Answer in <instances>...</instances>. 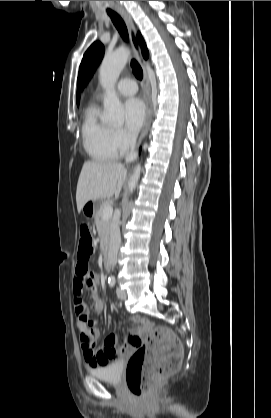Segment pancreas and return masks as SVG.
Segmentation results:
<instances>
[{
    "label": "pancreas",
    "mask_w": 271,
    "mask_h": 418,
    "mask_svg": "<svg viewBox=\"0 0 271 418\" xmlns=\"http://www.w3.org/2000/svg\"><path fill=\"white\" fill-rule=\"evenodd\" d=\"M110 203L108 201H104L101 203L99 209L97 210L95 214V225L99 234V237L101 240L106 243L109 240L111 227H112V220L109 218L107 220H104L102 218V212L106 205H109Z\"/></svg>",
    "instance_id": "cf45deb5"
}]
</instances>
